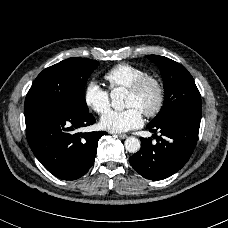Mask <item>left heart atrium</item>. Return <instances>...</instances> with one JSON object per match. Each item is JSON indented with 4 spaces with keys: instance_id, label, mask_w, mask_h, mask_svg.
<instances>
[{
    "instance_id": "left-heart-atrium-1",
    "label": "left heart atrium",
    "mask_w": 228,
    "mask_h": 228,
    "mask_svg": "<svg viewBox=\"0 0 228 228\" xmlns=\"http://www.w3.org/2000/svg\"><path fill=\"white\" fill-rule=\"evenodd\" d=\"M143 124L142 112L136 107L125 110H110L100 119L103 129L112 133H123Z\"/></svg>"
}]
</instances>
